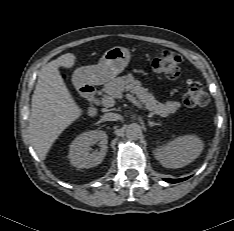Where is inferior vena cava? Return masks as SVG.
Wrapping results in <instances>:
<instances>
[{
    "label": "inferior vena cava",
    "instance_id": "602c4592",
    "mask_svg": "<svg viewBox=\"0 0 234 231\" xmlns=\"http://www.w3.org/2000/svg\"><path fill=\"white\" fill-rule=\"evenodd\" d=\"M121 118V115L117 113H106L103 115V119L106 121H117Z\"/></svg>",
    "mask_w": 234,
    "mask_h": 231
}]
</instances>
